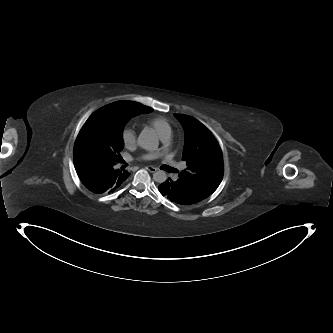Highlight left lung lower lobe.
I'll list each match as a JSON object with an SVG mask.
<instances>
[{"label":"left lung lower lobe","mask_w":333,"mask_h":333,"mask_svg":"<svg viewBox=\"0 0 333 333\" xmlns=\"http://www.w3.org/2000/svg\"><path fill=\"white\" fill-rule=\"evenodd\" d=\"M158 190L164 197L180 205H191L205 199L176 177L166 179Z\"/></svg>","instance_id":"0a47b994"}]
</instances>
